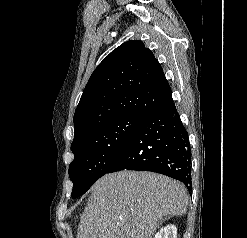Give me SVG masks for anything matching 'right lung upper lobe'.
I'll return each mask as SVG.
<instances>
[{
  "label": "right lung upper lobe",
  "instance_id": "1",
  "mask_svg": "<svg viewBox=\"0 0 247 238\" xmlns=\"http://www.w3.org/2000/svg\"><path fill=\"white\" fill-rule=\"evenodd\" d=\"M171 100V88L151 50L142 41H127L92 73L74 114V139L123 116L145 117Z\"/></svg>",
  "mask_w": 247,
  "mask_h": 238
}]
</instances>
